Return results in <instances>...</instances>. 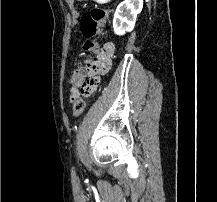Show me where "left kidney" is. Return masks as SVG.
Instances as JSON below:
<instances>
[{"mask_svg":"<svg viewBox=\"0 0 217 202\" xmlns=\"http://www.w3.org/2000/svg\"><path fill=\"white\" fill-rule=\"evenodd\" d=\"M142 8L143 0H124L117 6L113 18V30L117 36L132 32Z\"/></svg>","mask_w":217,"mask_h":202,"instance_id":"obj_1","label":"left kidney"}]
</instances>
